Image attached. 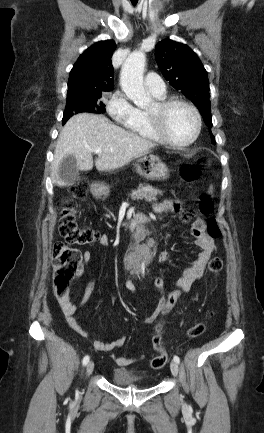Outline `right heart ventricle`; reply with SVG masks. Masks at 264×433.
Masks as SVG:
<instances>
[{
    "label": "right heart ventricle",
    "mask_w": 264,
    "mask_h": 433,
    "mask_svg": "<svg viewBox=\"0 0 264 433\" xmlns=\"http://www.w3.org/2000/svg\"><path fill=\"white\" fill-rule=\"evenodd\" d=\"M153 95L158 100L165 99V94L164 95L153 94ZM127 127L132 133L142 138L154 140V141H161L151 126L146 110L137 109L136 119L132 123L127 125Z\"/></svg>",
    "instance_id": "1"
}]
</instances>
